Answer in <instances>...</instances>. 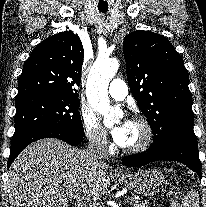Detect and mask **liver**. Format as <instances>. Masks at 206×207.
<instances>
[{
    "label": "liver",
    "mask_w": 206,
    "mask_h": 207,
    "mask_svg": "<svg viewBox=\"0 0 206 207\" xmlns=\"http://www.w3.org/2000/svg\"><path fill=\"white\" fill-rule=\"evenodd\" d=\"M107 164H93L87 150L47 138L27 146L9 169L11 207H69L102 197L110 186Z\"/></svg>",
    "instance_id": "1"
}]
</instances>
